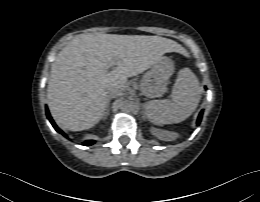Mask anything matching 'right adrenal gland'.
<instances>
[{"label": "right adrenal gland", "instance_id": "obj_1", "mask_svg": "<svg viewBox=\"0 0 260 202\" xmlns=\"http://www.w3.org/2000/svg\"><path fill=\"white\" fill-rule=\"evenodd\" d=\"M109 104H110V98L107 101L106 112H105L104 118H107V116L109 115V111H110Z\"/></svg>", "mask_w": 260, "mask_h": 202}]
</instances>
